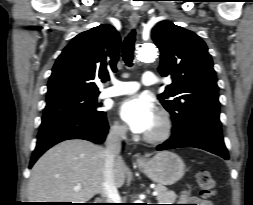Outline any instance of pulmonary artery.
Segmentation results:
<instances>
[{
  "label": "pulmonary artery",
  "instance_id": "obj_1",
  "mask_svg": "<svg viewBox=\"0 0 253 205\" xmlns=\"http://www.w3.org/2000/svg\"><path fill=\"white\" fill-rule=\"evenodd\" d=\"M158 82L156 75L152 71L144 72L141 83L146 86L154 85ZM140 84L135 81H118L113 80L112 86L105 88L100 93V98H108L119 95L130 94L137 91Z\"/></svg>",
  "mask_w": 253,
  "mask_h": 205
}]
</instances>
